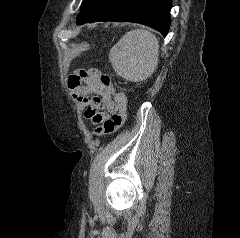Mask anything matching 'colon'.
I'll list each match as a JSON object with an SVG mask.
<instances>
[{
    "label": "colon",
    "mask_w": 240,
    "mask_h": 238,
    "mask_svg": "<svg viewBox=\"0 0 240 238\" xmlns=\"http://www.w3.org/2000/svg\"><path fill=\"white\" fill-rule=\"evenodd\" d=\"M98 81L102 86L109 91L113 96L118 106L117 113L111 115L105 119L94 130V134L97 136L109 135L115 133L124 124L127 116V104L126 97L123 92L119 91L112 83L109 75L98 72L96 74Z\"/></svg>",
    "instance_id": "colon-1"
}]
</instances>
